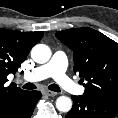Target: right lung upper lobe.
Listing matches in <instances>:
<instances>
[{
    "label": "right lung upper lobe",
    "mask_w": 118,
    "mask_h": 118,
    "mask_svg": "<svg viewBox=\"0 0 118 118\" xmlns=\"http://www.w3.org/2000/svg\"><path fill=\"white\" fill-rule=\"evenodd\" d=\"M43 37L42 31L20 32L0 29V112L25 98L30 91L16 84L6 85L7 75L15 74L30 49Z\"/></svg>",
    "instance_id": "right-lung-upper-lobe-1"
}]
</instances>
